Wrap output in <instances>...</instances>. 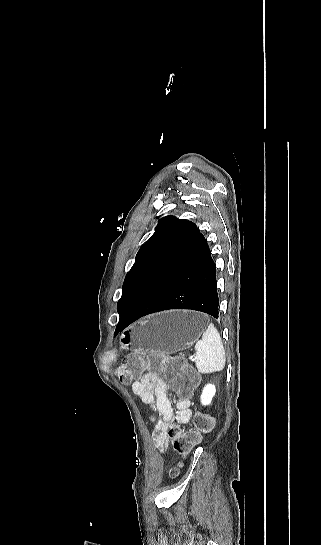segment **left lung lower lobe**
Wrapping results in <instances>:
<instances>
[{
    "mask_svg": "<svg viewBox=\"0 0 321 545\" xmlns=\"http://www.w3.org/2000/svg\"><path fill=\"white\" fill-rule=\"evenodd\" d=\"M168 309H192L218 318L216 266L207 241L190 221L129 313L120 316L116 330Z\"/></svg>",
    "mask_w": 321,
    "mask_h": 545,
    "instance_id": "obj_1",
    "label": "left lung lower lobe"
}]
</instances>
